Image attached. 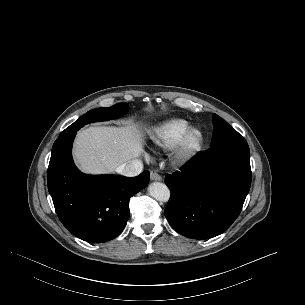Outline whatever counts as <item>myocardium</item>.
<instances>
[{
  "label": "myocardium",
  "instance_id": "f54148a6",
  "mask_svg": "<svg viewBox=\"0 0 305 305\" xmlns=\"http://www.w3.org/2000/svg\"><path fill=\"white\" fill-rule=\"evenodd\" d=\"M205 135L199 127H189L174 151L177 161L186 163L194 159L202 150Z\"/></svg>",
  "mask_w": 305,
  "mask_h": 305
}]
</instances>
